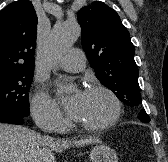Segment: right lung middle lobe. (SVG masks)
Masks as SVG:
<instances>
[{
    "label": "right lung middle lobe",
    "mask_w": 168,
    "mask_h": 162,
    "mask_svg": "<svg viewBox=\"0 0 168 162\" xmlns=\"http://www.w3.org/2000/svg\"><path fill=\"white\" fill-rule=\"evenodd\" d=\"M33 71L0 77V112L27 117Z\"/></svg>",
    "instance_id": "dd1d6c3e"
}]
</instances>
